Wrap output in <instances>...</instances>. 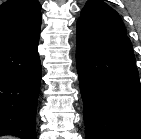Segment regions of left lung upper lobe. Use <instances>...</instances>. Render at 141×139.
<instances>
[{
	"label": "left lung upper lobe",
	"mask_w": 141,
	"mask_h": 139,
	"mask_svg": "<svg viewBox=\"0 0 141 139\" xmlns=\"http://www.w3.org/2000/svg\"><path fill=\"white\" fill-rule=\"evenodd\" d=\"M78 20L100 30L126 35L118 13L102 0H89Z\"/></svg>",
	"instance_id": "left-lung-upper-lobe-1"
}]
</instances>
